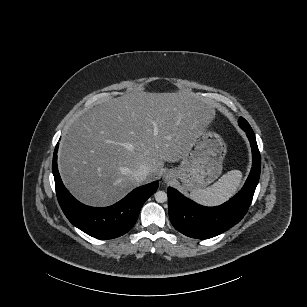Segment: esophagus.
Masks as SVG:
<instances>
[{
	"instance_id": "1",
	"label": "esophagus",
	"mask_w": 307,
	"mask_h": 307,
	"mask_svg": "<svg viewBox=\"0 0 307 307\" xmlns=\"http://www.w3.org/2000/svg\"><path fill=\"white\" fill-rule=\"evenodd\" d=\"M174 176H175V174H173V177H174ZM170 179H171V178H168V179L166 178V179H165V182H168Z\"/></svg>"
}]
</instances>
